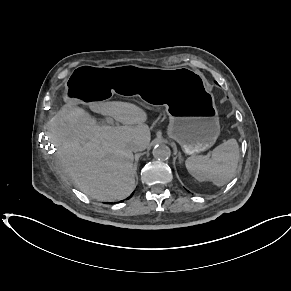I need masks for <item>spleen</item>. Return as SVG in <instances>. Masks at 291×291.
<instances>
[{
    "mask_svg": "<svg viewBox=\"0 0 291 291\" xmlns=\"http://www.w3.org/2000/svg\"><path fill=\"white\" fill-rule=\"evenodd\" d=\"M239 146L229 139L213 149L211 156H191L186 159L188 172L198 181H210L216 186L227 184L239 162Z\"/></svg>",
    "mask_w": 291,
    "mask_h": 291,
    "instance_id": "1",
    "label": "spleen"
}]
</instances>
